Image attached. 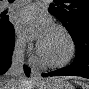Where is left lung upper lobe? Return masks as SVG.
<instances>
[{"label": "left lung upper lobe", "mask_w": 89, "mask_h": 89, "mask_svg": "<svg viewBox=\"0 0 89 89\" xmlns=\"http://www.w3.org/2000/svg\"><path fill=\"white\" fill-rule=\"evenodd\" d=\"M49 12L63 23L71 36L81 26H89V0H54Z\"/></svg>", "instance_id": "1"}]
</instances>
